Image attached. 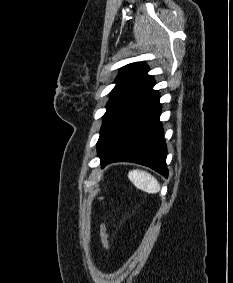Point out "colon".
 Instances as JSON below:
<instances>
[{"label": "colon", "instance_id": "obj_1", "mask_svg": "<svg viewBox=\"0 0 233 283\" xmlns=\"http://www.w3.org/2000/svg\"><path fill=\"white\" fill-rule=\"evenodd\" d=\"M100 239H101L103 247L106 250H110V241H109V236H108V232H107L105 223H102L100 226Z\"/></svg>", "mask_w": 233, "mask_h": 283}]
</instances>
